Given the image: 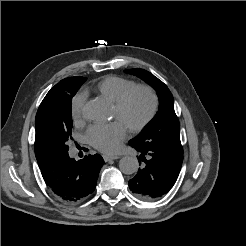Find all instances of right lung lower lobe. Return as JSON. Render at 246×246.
Here are the masks:
<instances>
[{
	"label": "right lung lower lobe",
	"instance_id": "1",
	"mask_svg": "<svg viewBox=\"0 0 246 246\" xmlns=\"http://www.w3.org/2000/svg\"><path fill=\"white\" fill-rule=\"evenodd\" d=\"M103 164L98 154L79 161L65 154L53 157L40 170L46 185L60 200L77 203L94 191Z\"/></svg>",
	"mask_w": 246,
	"mask_h": 246
}]
</instances>
